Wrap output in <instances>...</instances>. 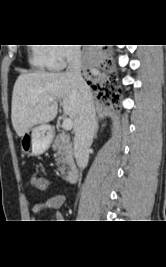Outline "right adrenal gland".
<instances>
[{
	"instance_id": "obj_1",
	"label": "right adrenal gland",
	"mask_w": 166,
	"mask_h": 267,
	"mask_svg": "<svg viewBox=\"0 0 166 267\" xmlns=\"http://www.w3.org/2000/svg\"><path fill=\"white\" fill-rule=\"evenodd\" d=\"M98 129H99V126H98V118H97V121H96V129H95V136H96V133L98 132Z\"/></svg>"
}]
</instances>
